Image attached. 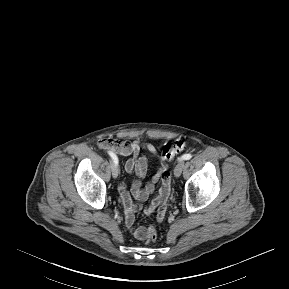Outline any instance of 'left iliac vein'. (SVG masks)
Segmentation results:
<instances>
[{
  "label": "left iliac vein",
  "instance_id": "1",
  "mask_svg": "<svg viewBox=\"0 0 289 289\" xmlns=\"http://www.w3.org/2000/svg\"><path fill=\"white\" fill-rule=\"evenodd\" d=\"M183 167H184V162H183V161L179 162V163L175 166V168H174V175H175V177H179V176L181 175L182 170H183Z\"/></svg>",
  "mask_w": 289,
  "mask_h": 289
}]
</instances>
